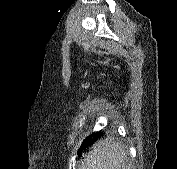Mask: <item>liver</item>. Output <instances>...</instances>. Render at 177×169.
Here are the masks:
<instances>
[{
	"label": "liver",
	"instance_id": "6515ba94",
	"mask_svg": "<svg viewBox=\"0 0 177 169\" xmlns=\"http://www.w3.org/2000/svg\"><path fill=\"white\" fill-rule=\"evenodd\" d=\"M78 169H132L125 150L117 142L100 143L83 155Z\"/></svg>",
	"mask_w": 177,
	"mask_h": 169
}]
</instances>
